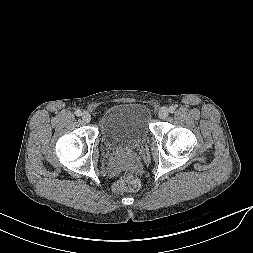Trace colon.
<instances>
[{
    "instance_id": "1",
    "label": "colon",
    "mask_w": 253,
    "mask_h": 253,
    "mask_svg": "<svg viewBox=\"0 0 253 253\" xmlns=\"http://www.w3.org/2000/svg\"><path fill=\"white\" fill-rule=\"evenodd\" d=\"M139 187V179L134 174L127 172L119 181L115 183L114 191L118 193L135 191L138 190Z\"/></svg>"
}]
</instances>
